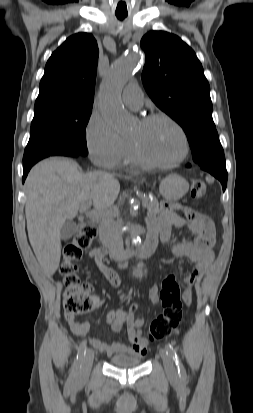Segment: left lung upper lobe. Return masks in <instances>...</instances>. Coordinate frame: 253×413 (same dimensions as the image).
<instances>
[{
    "mask_svg": "<svg viewBox=\"0 0 253 413\" xmlns=\"http://www.w3.org/2000/svg\"><path fill=\"white\" fill-rule=\"evenodd\" d=\"M143 85L154 103L185 131L195 163L225 164L212 119L210 86L195 52L178 36L150 31L140 43Z\"/></svg>",
    "mask_w": 253,
    "mask_h": 413,
    "instance_id": "left-lung-upper-lobe-1",
    "label": "left lung upper lobe"
}]
</instances>
